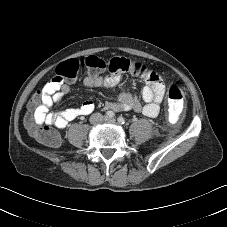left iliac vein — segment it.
<instances>
[{
  "label": "left iliac vein",
  "instance_id": "obj_1",
  "mask_svg": "<svg viewBox=\"0 0 227 227\" xmlns=\"http://www.w3.org/2000/svg\"><path fill=\"white\" fill-rule=\"evenodd\" d=\"M105 122L114 124L116 120L114 118H106Z\"/></svg>",
  "mask_w": 227,
  "mask_h": 227
}]
</instances>
